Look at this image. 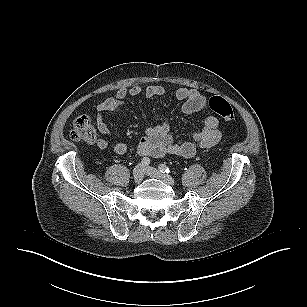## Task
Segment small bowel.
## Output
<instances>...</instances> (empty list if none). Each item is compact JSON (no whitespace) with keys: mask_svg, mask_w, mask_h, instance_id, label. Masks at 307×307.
Listing matches in <instances>:
<instances>
[{"mask_svg":"<svg viewBox=\"0 0 307 307\" xmlns=\"http://www.w3.org/2000/svg\"><path fill=\"white\" fill-rule=\"evenodd\" d=\"M147 98L161 97L165 94V89L159 85L148 86L143 89L139 85L130 88L121 87L117 90L114 97H109L97 106V128L103 135H110L111 131L105 121V115L109 112L124 108V100L131 96L137 97L143 94ZM178 101H181L182 111L185 114L204 113L203 127L192 134V139L182 143H175L165 122H158L146 130L145 136L137 146L138 154L143 158L162 157L166 154H174L184 158H190L199 149H206L215 146L221 139L219 120L214 116L208 107L206 97L196 89L179 88L174 94ZM96 145L99 149L105 150L108 142L105 139H98ZM117 154L127 152V144L117 142L114 145Z\"/></svg>","mask_w":307,"mask_h":307,"instance_id":"obj_1","label":"small bowel"}]
</instances>
